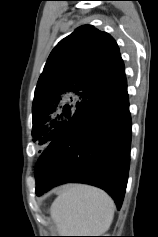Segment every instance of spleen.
Segmentation results:
<instances>
[{"label":"spleen","instance_id":"1","mask_svg":"<svg viewBox=\"0 0 158 237\" xmlns=\"http://www.w3.org/2000/svg\"><path fill=\"white\" fill-rule=\"evenodd\" d=\"M114 207L103 190L73 184L54 200L51 217L62 236H101L112 223Z\"/></svg>","mask_w":158,"mask_h":237}]
</instances>
